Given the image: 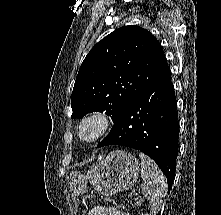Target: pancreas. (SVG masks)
Instances as JSON below:
<instances>
[{
  "label": "pancreas",
  "instance_id": "1",
  "mask_svg": "<svg viewBox=\"0 0 221 215\" xmlns=\"http://www.w3.org/2000/svg\"><path fill=\"white\" fill-rule=\"evenodd\" d=\"M132 202H134L136 205H139L141 203L138 198H135ZM132 202H131V204H132Z\"/></svg>",
  "mask_w": 221,
  "mask_h": 215
}]
</instances>
